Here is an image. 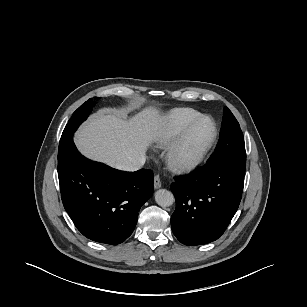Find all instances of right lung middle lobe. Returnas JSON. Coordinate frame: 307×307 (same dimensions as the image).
Returning a JSON list of instances; mask_svg holds the SVG:
<instances>
[{"label": "right lung middle lobe", "instance_id": "dd1d6c3e", "mask_svg": "<svg viewBox=\"0 0 307 307\" xmlns=\"http://www.w3.org/2000/svg\"><path fill=\"white\" fill-rule=\"evenodd\" d=\"M94 104L95 102H93L92 99H89L73 113L60 139L58 159H60L62 155L73 145V133L77 130L79 125L87 119Z\"/></svg>", "mask_w": 307, "mask_h": 307}]
</instances>
